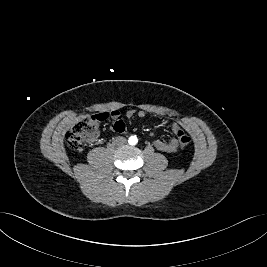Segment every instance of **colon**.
I'll use <instances>...</instances> for the list:
<instances>
[{
  "mask_svg": "<svg viewBox=\"0 0 267 267\" xmlns=\"http://www.w3.org/2000/svg\"><path fill=\"white\" fill-rule=\"evenodd\" d=\"M107 118L105 114L90 115L82 118L70 127L66 132V143L74 150H80L84 146L93 142L98 134L102 122ZM181 147L186 148L191 142V138L183 131L175 132Z\"/></svg>",
  "mask_w": 267,
  "mask_h": 267,
  "instance_id": "obj_1",
  "label": "colon"
}]
</instances>
